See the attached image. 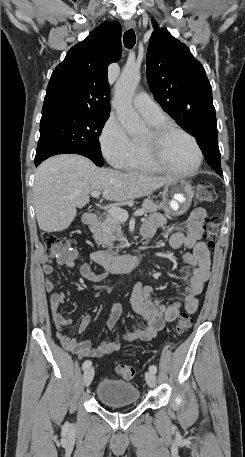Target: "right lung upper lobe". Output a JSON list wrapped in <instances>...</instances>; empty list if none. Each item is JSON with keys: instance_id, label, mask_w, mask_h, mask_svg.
<instances>
[{"instance_id": "right-lung-upper-lobe-1", "label": "right lung upper lobe", "mask_w": 245, "mask_h": 457, "mask_svg": "<svg viewBox=\"0 0 245 457\" xmlns=\"http://www.w3.org/2000/svg\"><path fill=\"white\" fill-rule=\"evenodd\" d=\"M121 53V25L103 23L72 47L54 69L42 113L61 109L110 112L107 69Z\"/></svg>"}]
</instances>
